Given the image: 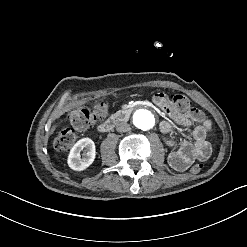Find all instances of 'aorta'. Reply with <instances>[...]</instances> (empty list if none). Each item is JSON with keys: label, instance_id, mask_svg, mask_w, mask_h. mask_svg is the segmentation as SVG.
Listing matches in <instances>:
<instances>
[{"label": "aorta", "instance_id": "762f6f07", "mask_svg": "<svg viewBox=\"0 0 247 247\" xmlns=\"http://www.w3.org/2000/svg\"><path fill=\"white\" fill-rule=\"evenodd\" d=\"M134 122L142 130L151 129L154 126V116L147 110L136 112Z\"/></svg>", "mask_w": 247, "mask_h": 247}]
</instances>
